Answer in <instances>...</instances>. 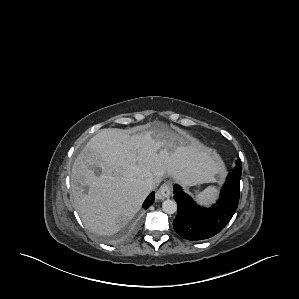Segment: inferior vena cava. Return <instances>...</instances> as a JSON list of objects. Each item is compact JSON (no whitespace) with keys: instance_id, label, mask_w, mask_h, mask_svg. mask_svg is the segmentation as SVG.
<instances>
[{"instance_id":"1","label":"inferior vena cava","mask_w":299,"mask_h":299,"mask_svg":"<svg viewBox=\"0 0 299 299\" xmlns=\"http://www.w3.org/2000/svg\"><path fill=\"white\" fill-rule=\"evenodd\" d=\"M144 184H145L146 189L149 192L151 190H153L155 188V186L157 185V183L152 178L147 179Z\"/></svg>"}]
</instances>
